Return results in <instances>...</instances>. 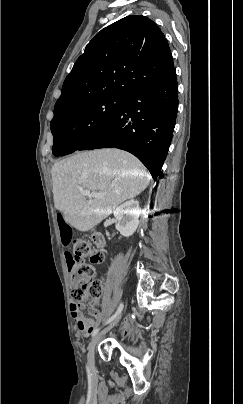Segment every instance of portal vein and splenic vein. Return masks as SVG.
Wrapping results in <instances>:
<instances>
[{"label": "portal vein and splenic vein", "mask_w": 243, "mask_h": 404, "mask_svg": "<svg viewBox=\"0 0 243 404\" xmlns=\"http://www.w3.org/2000/svg\"><path fill=\"white\" fill-rule=\"evenodd\" d=\"M82 190V188H81ZM81 194H83V196H87V198H89V200H92V198H100V196H103V194H92V192H90V190H82Z\"/></svg>", "instance_id": "portal-vein-and-splenic-vein-1"}]
</instances>
